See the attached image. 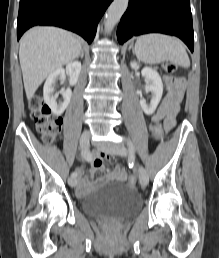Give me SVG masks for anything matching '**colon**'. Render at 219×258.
I'll list each match as a JSON object with an SVG mask.
<instances>
[{"label":"colon","instance_id":"5ec220e1","mask_svg":"<svg viewBox=\"0 0 219 258\" xmlns=\"http://www.w3.org/2000/svg\"><path fill=\"white\" fill-rule=\"evenodd\" d=\"M163 68L167 73L176 71L177 66L172 62H165ZM30 116L33 119L37 130L47 143H52L60 134L62 119L54 115L45 104L42 97L36 95L32 97L29 103ZM150 131L154 141L159 142L163 137V124L158 118L151 120ZM128 185L136 187L137 180L134 176L129 177Z\"/></svg>","mask_w":219,"mask_h":258}]
</instances>
